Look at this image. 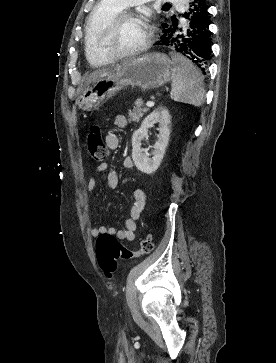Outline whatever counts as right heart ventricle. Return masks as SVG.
I'll return each mask as SVG.
<instances>
[{
    "instance_id": "obj_1",
    "label": "right heart ventricle",
    "mask_w": 276,
    "mask_h": 363,
    "mask_svg": "<svg viewBox=\"0 0 276 363\" xmlns=\"http://www.w3.org/2000/svg\"><path fill=\"white\" fill-rule=\"evenodd\" d=\"M121 8L110 0H101L88 18L86 27L85 53L91 65L100 67L112 63L101 46V34L107 23Z\"/></svg>"
}]
</instances>
